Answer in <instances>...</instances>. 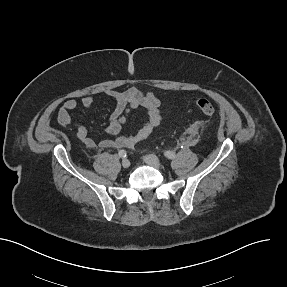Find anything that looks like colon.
<instances>
[{
    "mask_svg": "<svg viewBox=\"0 0 287 287\" xmlns=\"http://www.w3.org/2000/svg\"><path fill=\"white\" fill-rule=\"evenodd\" d=\"M195 105L198 110L203 113L204 115H212L215 111L214 105L212 102L207 98H198L195 101Z\"/></svg>",
    "mask_w": 287,
    "mask_h": 287,
    "instance_id": "1",
    "label": "colon"
}]
</instances>
